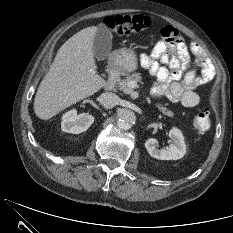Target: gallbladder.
Segmentation results:
<instances>
[{
  "instance_id": "obj_1",
  "label": "gallbladder",
  "mask_w": 233,
  "mask_h": 233,
  "mask_svg": "<svg viewBox=\"0 0 233 233\" xmlns=\"http://www.w3.org/2000/svg\"><path fill=\"white\" fill-rule=\"evenodd\" d=\"M112 33L110 29L100 24L93 41V52L97 59L104 60L108 57L112 49Z\"/></svg>"
}]
</instances>
